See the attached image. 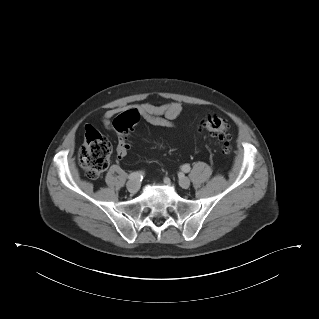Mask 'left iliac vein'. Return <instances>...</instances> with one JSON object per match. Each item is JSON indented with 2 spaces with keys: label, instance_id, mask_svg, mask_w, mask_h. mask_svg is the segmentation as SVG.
Here are the masks:
<instances>
[{
  "label": "left iliac vein",
  "instance_id": "obj_1",
  "mask_svg": "<svg viewBox=\"0 0 319 319\" xmlns=\"http://www.w3.org/2000/svg\"><path fill=\"white\" fill-rule=\"evenodd\" d=\"M179 184L182 188L187 189L190 186V180L187 177L181 175L179 177Z\"/></svg>",
  "mask_w": 319,
  "mask_h": 319
}]
</instances>
